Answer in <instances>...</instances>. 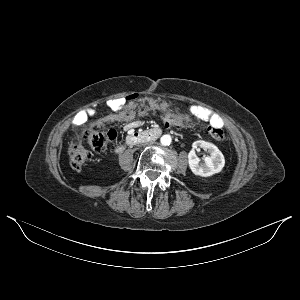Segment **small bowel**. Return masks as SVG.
Wrapping results in <instances>:
<instances>
[{
    "mask_svg": "<svg viewBox=\"0 0 300 300\" xmlns=\"http://www.w3.org/2000/svg\"><path fill=\"white\" fill-rule=\"evenodd\" d=\"M189 111L192 115L207 120L215 126L221 127L223 125L222 119L217 114L211 112L210 110L204 107L193 105L189 108ZM95 113H96V109L94 107L87 108L79 112L78 114H76L73 122L75 125L81 126L87 123L88 120L95 115ZM104 122H105V118H100L96 121L97 124H102ZM140 125H141L140 121H131L129 122L127 127L135 128V127H139Z\"/></svg>",
    "mask_w": 300,
    "mask_h": 300,
    "instance_id": "obj_1",
    "label": "small bowel"
}]
</instances>
